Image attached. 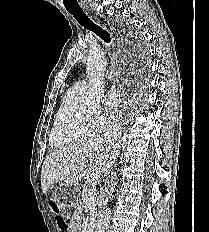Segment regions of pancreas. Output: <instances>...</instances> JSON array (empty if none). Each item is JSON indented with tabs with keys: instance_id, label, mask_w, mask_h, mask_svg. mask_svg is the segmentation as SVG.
<instances>
[{
	"instance_id": "pancreas-1",
	"label": "pancreas",
	"mask_w": 209,
	"mask_h": 232,
	"mask_svg": "<svg viewBox=\"0 0 209 232\" xmlns=\"http://www.w3.org/2000/svg\"><path fill=\"white\" fill-rule=\"evenodd\" d=\"M88 190L89 189L87 187H83L82 194H81L83 203H86V194H87ZM91 202H92L91 215L94 216V214H95V203H94L93 200Z\"/></svg>"
}]
</instances>
